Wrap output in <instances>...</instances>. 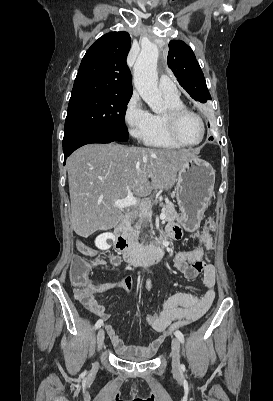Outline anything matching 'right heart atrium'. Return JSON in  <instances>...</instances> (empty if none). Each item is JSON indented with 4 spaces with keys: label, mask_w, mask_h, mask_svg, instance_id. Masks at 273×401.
Instances as JSON below:
<instances>
[{
    "label": "right heart atrium",
    "mask_w": 273,
    "mask_h": 401,
    "mask_svg": "<svg viewBox=\"0 0 273 401\" xmlns=\"http://www.w3.org/2000/svg\"><path fill=\"white\" fill-rule=\"evenodd\" d=\"M151 115L140 97L132 95L127 103L124 119L130 135L137 141L146 138L150 129Z\"/></svg>",
    "instance_id": "d8ad5b80"
}]
</instances>
